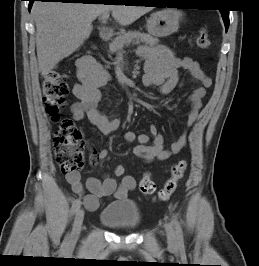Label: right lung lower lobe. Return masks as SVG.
Here are the masks:
<instances>
[{"mask_svg":"<svg viewBox=\"0 0 259 266\" xmlns=\"http://www.w3.org/2000/svg\"><path fill=\"white\" fill-rule=\"evenodd\" d=\"M29 1V11L31 10L32 4L34 1H42V2H62V3H67V2H80V3H119V2H106V0H28Z\"/></svg>","mask_w":259,"mask_h":266,"instance_id":"1","label":"right lung lower lobe"}]
</instances>
